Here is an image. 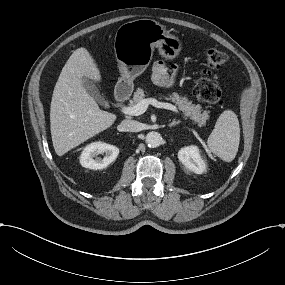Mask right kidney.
<instances>
[{"mask_svg":"<svg viewBox=\"0 0 285 285\" xmlns=\"http://www.w3.org/2000/svg\"><path fill=\"white\" fill-rule=\"evenodd\" d=\"M119 154V149L105 143H94L87 146L80 156V163L85 168L103 169L113 162ZM98 155H104L101 159Z\"/></svg>","mask_w":285,"mask_h":285,"instance_id":"right-kidney-1","label":"right kidney"}]
</instances>
